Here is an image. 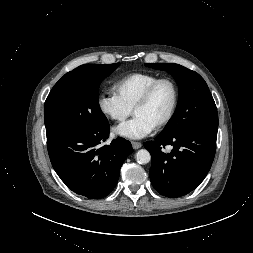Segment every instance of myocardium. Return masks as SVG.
Listing matches in <instances>:
<instances>
[{
    "mask_svg": "<svg viewBox=\"0 0 253 253\" xmlns=\"http://www.w3.org/2000/svg\"><path fill=\"white\" fill-rule=\"evenodd\" d=\"M164 82L169 83L173 89V101H172L171 108H170L169 112L167 113V115L155 126L156 130H160V129L166 127L172 121V119L177 111L180 94H179V87H178L177 83L175 82V80L170 77L158 78L156 81H154L152 84H150L145 89V91L142 93V95L139 97V99L136 101V103L133 106V112H135V110L138 107L145 105L150 100L155 89L160 84H162Z\"/></svg>",
    "mask_w": 253,
    "mask_h": 253,
    "instance_id": "1",
    "label": "myocardium"
}]
</instances>
